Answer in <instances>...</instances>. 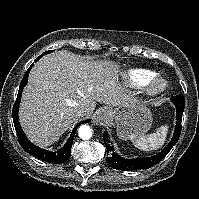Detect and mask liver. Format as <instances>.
Wrapping results in <instances>:
<instances>
[{
	"label": "liver",
	"instance_id": "liver-1",
	"mask_svg": "<svg viewBox=\"0 0 199 199\" xmlns=\"http://www.w3.org/2000/svg\"><path fill=\"white\" fill-rule=\"evenodd\" d=\"M113 62L90 61L68 51L41 58L32 68L20 103L19 119L29 140L46 147L76 123L85 106L90 116L96 102L117 106L129 99L118 82Z\"/></svg>",
	"mask_w": 199,
	"mask_h": 199
}]
</instances>
